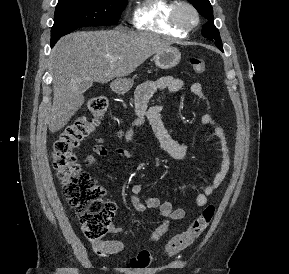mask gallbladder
Returning <instances> with one entry per match:
<instances>
[{"mask_svg":"<svg viewBox=\"0 0 289 274\" xmlns=\"http://www.w3.org/2000/svg\"><path fill=\"white\" fill-rule=\"evenodd\" d=\"M92 84L91 83H83L81 88L84 89V90H87L89 87H91Z\"/></svg>","mask_w":289,"mask_h":274,"instance_id":"obj_1","label":"gallbladder"}]
</instances>
